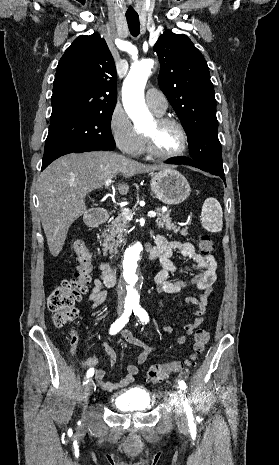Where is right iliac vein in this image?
Listing matches in <instances>:
<instances>
[{"instance_id":"63e3f726","label":"right iliac vein","mask_w":279,"mask_h":465,"mask_svg":"<svg viewBox=\"0 0 279 465\" xmlns=\"http://www.w3.org/2000/svg\"><path fill=\"white\" fill-rule=\"evenodd\" d=\"M119 314L122 313V310H119L118 311ZM93 387H94V384H93V380L90 379L88 380L86 386H85V389H84V393H83V400L84 402H87L88 399L90 398L92 392H93Z\"/></svg>"}]
</instances>
